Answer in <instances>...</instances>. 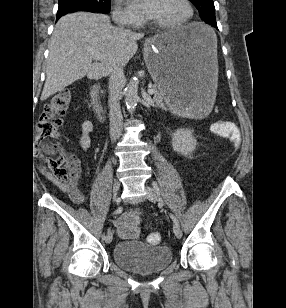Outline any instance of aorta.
I'll return each instance as SVG.
<instances>
[{
  "mask_svg": "<svg viewBox=\"0 0 286 308\" xmlns=\"http://www.w3.org/2000/svg\"><path fill=\"white\" fill-rule=\"evenodd\" d=\"M138 79H133L130 81L128 86L125 89V101L127 109L132 112L135 110L137 102L139 100L138 97Z\"/></svg>",
  "mask_w": 286,
  "mask_h": 308,
  "instance_id": "obj_1",
  "label": "aorta"
}]
</instances>
